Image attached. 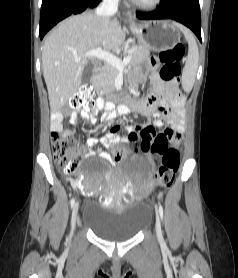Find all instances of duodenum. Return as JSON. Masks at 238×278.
<instances>
[{"label":"duodenum","instance_id":"1","mask_svg":"<svg viewBox=\"0 0 238 278\" xmlns=\"http://www.w3.org/2000/svg\"><path fill=\"white\" fill-rule=\"evenodd\" d=\"M99 73H100V68L99 67H95L93 69V76L96 77Z\"/></svg>","mask_w":238,"mask_h":278}]
</instances>
